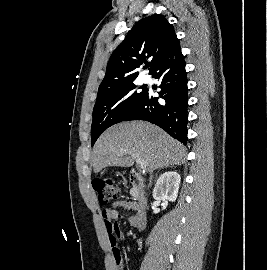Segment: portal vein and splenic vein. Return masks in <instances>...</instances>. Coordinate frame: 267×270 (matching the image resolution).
Listing matches in <instances>:
<instances>
[{"mask_svg":"<svg viewBox=\"0 0 267 270\" xmlns=\"http://www.w3.org/2000/svg\"><path fill=\"white\" fill-rule=\"evenodd\" d=\"M135 160L141 169H145V162L140 157L136 156Z\"/></svg>","mask_w":267,"mask_h":270,"instance_id":"obj_1","label":"portal vein and splenic vein"}]
</instances>
